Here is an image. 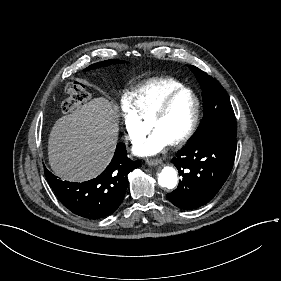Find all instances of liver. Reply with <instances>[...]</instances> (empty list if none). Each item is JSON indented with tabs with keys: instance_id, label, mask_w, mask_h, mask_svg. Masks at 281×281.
<instances>
[{
	"instance_id": "liver-1",
	"label": "liver",
	"mask_w": 281,
	"mask_h": 281,
	"mask_svg": "<svg viewBox=\"0 0 281 281\" xmlns=\"http://www.w3.org/2000/svg\"><path fill=\"white\" fill-rule=\"evenodd\" d=\"M116 110L105 98H95L59 118L49 136L48 156L54 173L70 181L99 175L110 163L118 140Z\"/></svg>"
}]
</instances>
